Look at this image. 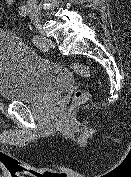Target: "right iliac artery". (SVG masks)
I'll list each match as a JSON object with an SVG mask.
<instances>
[{"mask_svg": "<svg viewBox=\"0 0 131 177\" xmlns=\"http://www.w3.org/2000/svg\"><path fill=\"white\" fill-rule=\"evenodd\" d=\"M19 14L23 17H25L28 14V9L25 5L19 7ZM33 43L34 45L40 47V49L44 51L48 50V47H46L45 43H43V40H41V38H39L38 36H34Z\"/></svg>", "mask_w": 131, "mask_h": 177, "instance_id": "82829eb1", "label": "right iliac artery"}]
</instances>
